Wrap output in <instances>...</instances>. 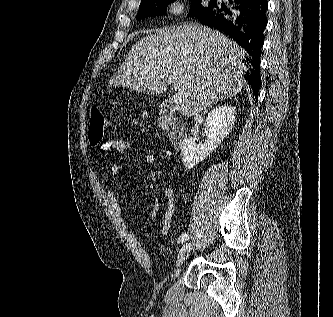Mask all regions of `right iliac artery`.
<instances>
[{"label": "right iliac artery", "mask_w": 333, "mask_h": 317, "mask_svg": "<svg viewBox=\"0 0 333 317\" xmlns=\"http://www.w3.org/2000/svg\"><path fill=\"white\" fill-rule=\"evenodd\" d=\"M189 239V235L184 233L182 235L179 236L177 242L178 243H184L185 241H187Z\"/></svg>", "instance_id": "1"}]
</instances>
